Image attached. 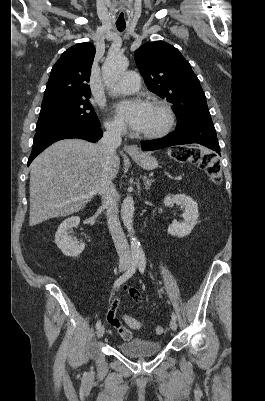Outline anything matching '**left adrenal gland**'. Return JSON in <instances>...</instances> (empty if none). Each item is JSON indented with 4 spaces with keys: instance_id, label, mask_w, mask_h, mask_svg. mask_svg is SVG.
Returning a JSON list of instances; mask_svg holds the SVG:
<instances>
[{
    "instance_id": "a2214340",
    "label": "left adrenal gland",
    "mask_w": 265,
    "mask_h": 401,
    "mask_svg": "<svg viewBox=\"0 0 265 401\" xmlns=\"http://www.w3.org/2000/svg\"><path fill=\"white\" fill-rule=\"evenodd\" d=\"M142 180H144L146 190H149L151 182H153V178H148V176H143Z\"/></svg>"
}]
</instances>
